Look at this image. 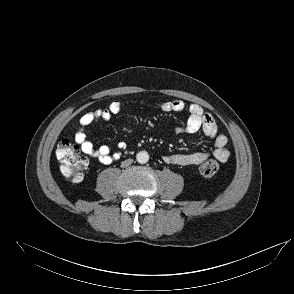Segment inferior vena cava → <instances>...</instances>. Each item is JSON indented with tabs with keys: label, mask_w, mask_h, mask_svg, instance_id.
<instances>
[{
	"label": "inferior vena cava",
	"mask_w": 294,
	"mask_h": 294,
	"mask_svg": "<svg viewBox=\"0 0 294 294\" xmlns=\"http://www.w3.org/2000/svg\"><path fill=\"white\" fill-rule=\"evenodd\" d=\"M132 162H133L132 159H127V160H125V161H123V162L121 163V167H123V168H124V167H127V166L131 165Z\"/></svg>",
	"instance_id": "obj_1"
}]
</instances>
